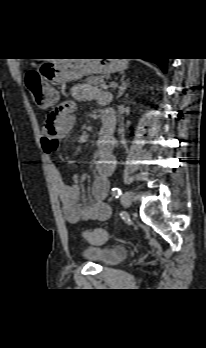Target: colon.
Returning <instances> with one entry per match:
<instances>
[{
	"instance_id": "5ec220e1",
	"label": "colon",
	"mask_w": 206,
	"mask_h": 348,
	"mask_svg": "<svg viewBox=\"0 0 206 348\" xmlns=\"http://www.w3.org/2000/svg\"><path fill=\"white\" fill-rule=\"evenodd\" d=\"M25 84L32 97L35 100H38L44 89V84L40 73L35 70L28 71L25 75ZM84 236L89 242L93 244L103 243L108 238V234L104 230L89 231L86 232Z\"/></svg>"
}]
</instances>
